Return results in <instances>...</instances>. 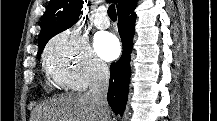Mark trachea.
Instances as JSON below:
<instances>
[{"instance_id":"1","label":"trachea","mask_w":217,"mask_h":121,"mask_svg":"<svg viewBox=\"0 0 217 121\" xmlns=\"http://www.w3.org/2000/svg\"><path fill=\"white\" fill-rule=\"evenodd\" d=\"M108 16L111 19H116L117 18V14H116V9H115V5L111 4L108 8Z\"/></svg>"}]
</instances>
